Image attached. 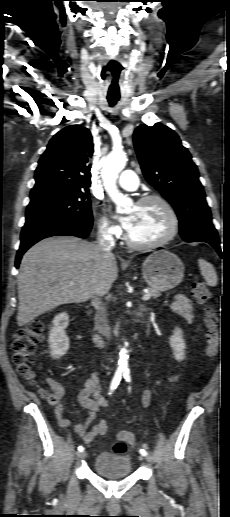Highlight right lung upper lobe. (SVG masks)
Instances as JSON below:
<instances>
[{
    "label": "right lung upper lobe",
    "instance_id": "1",
    "mask_svg": "<svg viewBox=\"0 0 230 517\" xmlns=\"http://www.w3.org/2000/svg\"><path fill=\"white\" fill-rule=\"evenodd\" d=\"M93 153L91 133L80 125H70L53 136L35 171V186L30 198L88 190L90 158Z\"/></svg>",
    "mask_w": 230,
    "mask_h": 517
}]
</instances>
